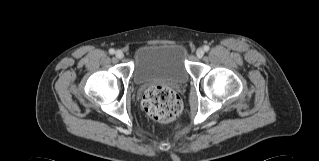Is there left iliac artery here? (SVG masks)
<instances>
[{
    "label": "left iliac artery",
    "instance_id": "left-iliac-artery-1",
    "mask_svg": "<svg viewBox=\"0 0 319 161\" xmlns=\"http://www.w3.org/2000/svg\"><path fill=\"white\" fill-rule=\"evenodd\" d=\"M209 49H210L209 46H207V45L204 46V50H205V51H209Z\"/></svg>",
    "mask_w": 319,
    "mask_h": 161
}]
</instances>
